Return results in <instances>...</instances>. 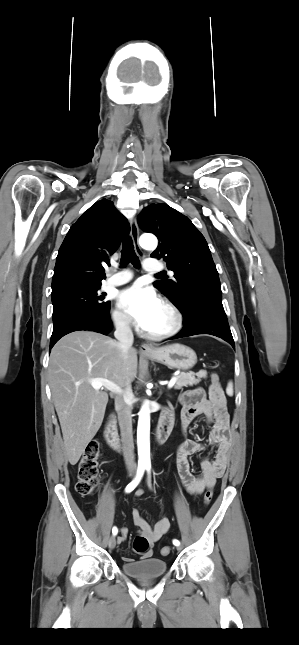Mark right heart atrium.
<instances>
[{"label": "right heart atrium", "instance_id": "right-heart-atrium-1", "mask_svg": "<svg viewBox=\"0 0 299 645\" xmlns=\"http://www.w3.org/2000/svg\"><path fill=\"white\" fill-rule=\"evenodd\" d=\"M111 321L114 326L121 330H128L132 327V321L130 317L118 308H114L110 314Z\"/></svg>", "mask_w": 299, "mask_h": 645}]
</instances>
